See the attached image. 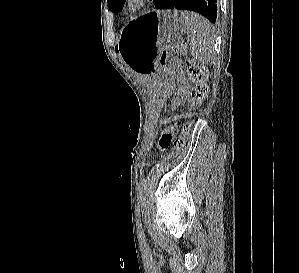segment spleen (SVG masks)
<instances>
[{
    "label": "spleen",
    "mask_w": 299,
    "mask_h": 273,
    "mask_svg": "<svg viewBox=\"0 0 299 273\" xmlns=\"http://www.w3.org/2000/svg\"><path fill=\"white\" fill-rule=\"evenodd\" d=\"M181 19L186 27L192 56L202 64L209 63L214 56V27L206 18L189 11H181Z\"/></svg>",
    "instance_id": "3e777b00"
}]
</instances>
